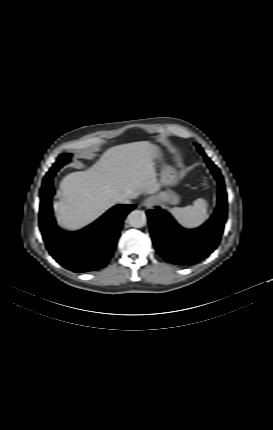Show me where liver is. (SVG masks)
<instances>
[{
	"mask_svg": "<svg viewBox=\"0 0 273 430\" xmlns=\"http://www.w3.org/2000/svg\"><path fill=\"white\" fill-rule=\"evenodd\" d=\"M152 148L149 141L114 146L89 169L67 175L60 184V200L53 204L58 225L78 231L121 197L158 192L162 184L156 177Z\"/></svg>",
	"mask_w": 273,
	"mask_h": 430,
	"instance_id": "obj_1",
	"label": "liver"
}]
</instances>
